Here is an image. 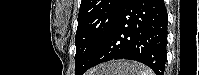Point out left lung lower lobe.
Here are the masks:
<instances>
[{
  "label": "left lung lower lobe",
  "instance_id": "left-lung-lower-lobe-1",
  "mask_svg": "<svg viewBox=\"0 0 199 75\" xmlns=\"http://www.w3.org/2000/svg\"><path fill=\"white\" fill-rule=\"evenodd\" d=\"M167 24L163 0H126L89 68L114 59H128L164 75Z\"/></svg>",
  "mask_w": 199,
  "mask_h": 75
}]
</instances>
